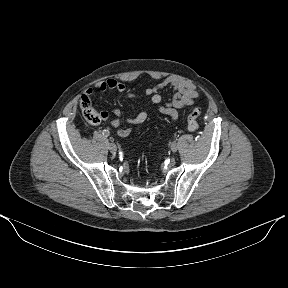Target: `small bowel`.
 <instances>
[{
	"instance_id": "obj_1",
	"label": "small bowel",
	"mask_w": 288,
	"mask_h": 288,
	"mask_svg": "<svg viewBox=\"0 0 288 288\" xmlns=\"http://www.w3.org/2000/svg\"><path fill=\"white\" fill-rule=\"evenodd\" d=\"M166 89L173 91V96L168 102L162 103V92ZM94 90L98 92H104L107 90H114L122 94L124 100L138 99V95L135 94L124 83L116 79L110 78L104 81L97 82L93 88H88L85 91L84 96L90 97L93 95ZM145 96L149 97L151 102L158 105L159 111L168 116L172 121L178 118V110L184 109L194 104L195 100L200 97V91L194 83L189 80L179 78L176 76H169L154 86L145 90ZM111 113L115 118L110 120L111 125L116 129V133L119 137L125 138L132 133V127H122V111L118 108H114ZM103 120L110 118V113L104 111L101 113ZM148 119L147 111H141L133 117H127L125 122L131 126L140 125Z\"/></svg>"
}]
</instances>
